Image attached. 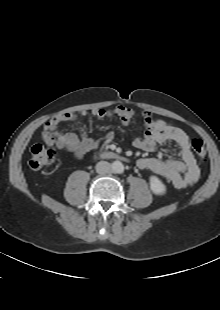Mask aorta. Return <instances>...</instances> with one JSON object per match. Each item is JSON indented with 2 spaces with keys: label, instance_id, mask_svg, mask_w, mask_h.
<instances>
[{
  "label": "aorta",
  "instance_id": "1",
  "mask_svg": "<svg viewBox=\"0 0 220 310\" xmlns=\"http://www.w3.org/2000/svg\"><path fill=\"white\" fill-rule=\"evenodd\" d=\"M112 171L114 173H121L123 171V165L120 161H115L112 163Z\"/></svg>",
  "mask_w": 220,
  "mask_h": 310
}]
</instances>
